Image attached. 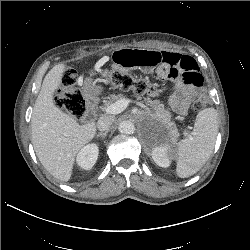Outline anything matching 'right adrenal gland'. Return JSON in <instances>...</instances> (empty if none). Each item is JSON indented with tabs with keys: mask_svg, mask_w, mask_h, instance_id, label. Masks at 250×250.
Segmentation results:
<instances>
[{
	"mask_svg": "<svg viewBox=\"0 0 250 250\" xmlns=\"http://www.w3.org/2000/svg\"><path fill=\"white\" fill-rule=\"evenodd\" d=\"M107 133L108 131H105V132H100L96 135V137H102V138H105L107 136Z\"/></svg>",
	"mask_w": 250,
	"mask_h": 250,
	"instance_id": "1",
	"label": "right adrenal gland"
}]
</instances>
